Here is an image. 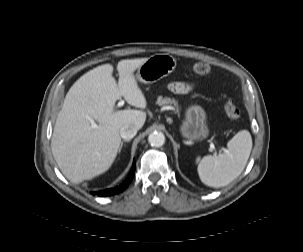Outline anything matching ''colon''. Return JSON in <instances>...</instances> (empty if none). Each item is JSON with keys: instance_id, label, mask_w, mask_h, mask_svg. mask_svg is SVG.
Listing matches in <instances>:
<instances>
[{"instance_id": "1", "label": "colon", "mask_w": 303, "mask_h": 252, "mask_svg": "<svg viewBox=\"0 0 303 252\" xmlns=\"http://www.w3.org/2000/svg\"><path fill=\"white\" fill-rule=\"evenodd\" d=\"M194 73L198 75H207L210 73V66L206 63L196 62L192 66ZM224 109L227 116L234 122H237L241 118V112L237 106L230 100H226L224 103Z\"/></svg>"}]
</instances>
